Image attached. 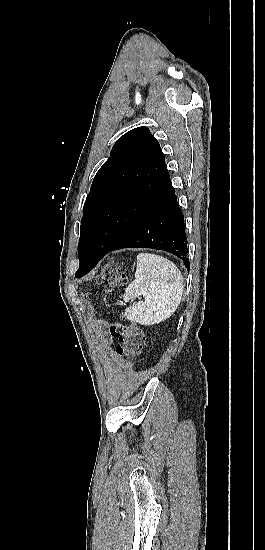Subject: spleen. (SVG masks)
<instances>
[{
	"instance_id": "1",
	"label": "spleen",
	"mask_w": 265,
	"mask_h": 550,
	"mask_svg": "<svg viewBox=\"0 0 265 550\" xmlns=\"http://www.w3.org/2000/svg\"><path fill=\"white\" fill-rule=\"evenodd\" d=\"M183 277L177 266L160 255L137 256L135 280L125 289V302L143 296L125 316L141 325H154L169 318L178 308L183 294Z\"/></svg>"
}]
</instances>
